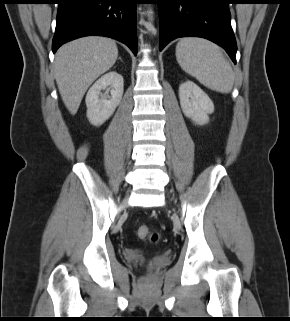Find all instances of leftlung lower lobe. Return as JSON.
Instances as JSON below:
<instances>
[{
	"instance_id": "1",
	"label": "left lung lower lobe",
	"mask_w": 290,
	"mask_h": 321,
	"mask_svg": "<svg viewBox=\"0 0 290 321\" xmlns=\"http://www.w3.org/2000/svg\"><path fill=\"white\" fill-rule=\"evenodd\" d=\"M160 51L179 37H202L223 47L236 64L230 0H158Z\"/></svg>"
}]
</instances>
